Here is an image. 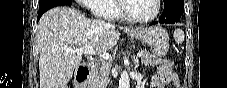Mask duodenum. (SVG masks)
Wrapping results in <instances>:
<instances>
[{
    "label": "duodenum",
    "instance_id": "obj_1",
    "mask_svg": "<svg viewBox=\"0 0 227 88\" xmlns=\"http://www.w3.org/2000/svg\"><path fill=\"white\" fill-rule=\"evenodd\" d=\"M91 71V63L85 61L77 69L75 81L80 86V88H85Z\"/></svg>",
    "mask_w": 227,
    "mask_h": 88
}]
</instances>
